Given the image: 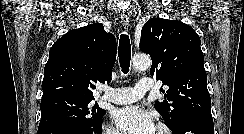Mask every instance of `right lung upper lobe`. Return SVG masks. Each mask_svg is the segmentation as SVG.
<instances>
[{
    "mask_svg": "<svg viewBox=\"0 0 244 134\" xmlns=\"http://www.w3.org/2000/svg\"><path fill=\"white\" fill-rule=\"evenodd\" d=\"M116 39L100 23L67 32L49 51L42 100L73 97L93 100L94 83L111 81Z\"/></svg>",
    "mask_w": 244,
    "mask_h": 134,
    "instance_id": "right-lung-upper-lobe-1",
    "label": "right lung upper lobe"
}]
</instances>
